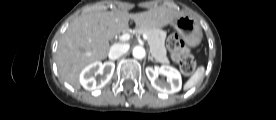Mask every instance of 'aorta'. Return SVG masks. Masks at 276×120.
Segmentation results:
<instances>
[{
    "label": "aorta",
    "instance_id": "aorta-1",
    "mask_svg": "<svg viewBox=\"0 0 276 120\" xmlns=\"http://www.w3.org/2000/svg\"><path fill=\"white\" fill-rule=\"evenodd\" d=\"M133 57L136 59H143L146 55L145 49L142 46H136L133 48Z\"/></svg>",
    "mask_w": 276,
    "mask_h": 120
}]
</instances>
